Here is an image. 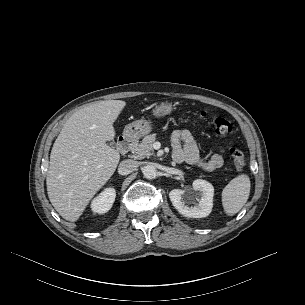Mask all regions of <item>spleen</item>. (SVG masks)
<instances>
[{
	"label": "spleen",
	"instance_id": "3e777b00",
	"mask_svg": "<svg viewBox=\"0 0 305 305\" xmlns=\"http://www.w3.org/2000/svg\"><path fill=\"white\" fill-rule=\"evenodd\" d=\"M250 179L242 174L232 179L222 191V205L228 216L241 210L250 194Z\"/></svg>",
	"mask_w": 305,
	"mask_h": 305
}]
</instances>
